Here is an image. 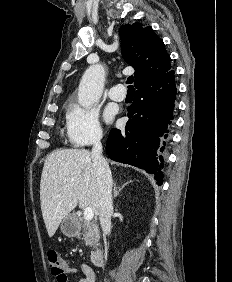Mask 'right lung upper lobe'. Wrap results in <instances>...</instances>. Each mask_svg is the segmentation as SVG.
I'll return each mask as SVG.
<instances>
[{"mask_svg": "<svg viewBox=\"0 0 232 282\" xmlns=\"http://www.w3.org/2000/svg\"><path fill=\"white\" fill-rule=\"evenodd\" d=\"M120 37L122 56L135 69V86L170 70V56L150 26L123 25Z\"/></svg>", "mask_w": 232, "mask_h": 282, "instance_id": "cb5924a9", "label": "right lung upper lobe"}]
</instances>
